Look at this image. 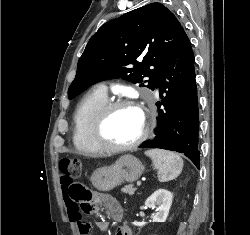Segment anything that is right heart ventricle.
Instances as JSON below:
<instances>
[{
  "mask_svg": "<svg viewBox=\"0 0 250 235\" xmlns=\"http://www.w3.org/2000/svg\"><path fill=\"white\" fill-rule=\"evenodd\" d=\"M107 101L106 92L98 88L84 96L75 110L73 144L82 155L96 156L105 152L93 142L90 130L94 116Z\"/></svg>",
  "mask_w": 250,
  "mask_h": 235,
  "instance_id": "e07e8e85",
  "label": "right heart ventricle"
}]
</instances>
